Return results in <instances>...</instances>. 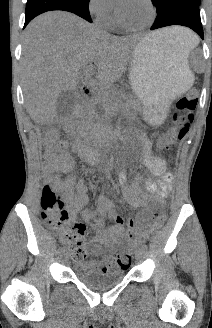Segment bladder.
<instances>
[{"label": "bladder", "mask_w": 212, "mask_h": 328, "mask_svg": "<svg viewBox=\"0 0 212 328\" xmlns=\"http://www.w3.org/2000/svg\"><path fill=\"white\" fill-rule=\"evenodd\" d=\"M75 276L87 287L94 290H105L119 284L125 277L123 270L101 272L92 260H77L73 264Z\"/></svg>", "instance_id": "obj_1"}]
</instances>
